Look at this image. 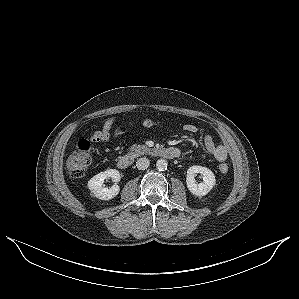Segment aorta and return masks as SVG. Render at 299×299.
Here are the masks:
<instances>
[{
	"label": "aorta",
	"instance_id": "762f6f07",
	"mask_svg": "<svg viewBox=\"0 0 299 299\" xmlns=\"http://www.w3.org/2000/svg\"><path fill=\"white\" fill-rule=\"evenodd\" d=\"M168 162L165 159H159L156 162V167L159 171H164L167 169Z\"/></svg>",
	"mask_w": 299,
	"mask_h": 299
}]
</instances>
